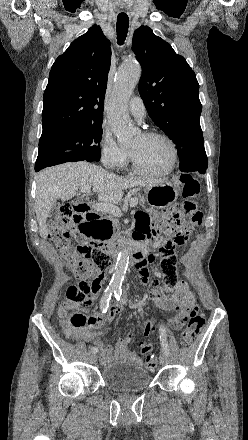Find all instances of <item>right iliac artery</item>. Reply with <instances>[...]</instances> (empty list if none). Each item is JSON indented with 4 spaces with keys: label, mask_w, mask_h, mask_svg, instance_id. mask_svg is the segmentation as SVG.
I'll return each instance as SVG.
<instances>
[{
    "label": "right iliac artery",
    "mask_w": 248,
    "mask_h": 440,
    "mask_svg": "<svg viewBox=\"0 0 248 440\" xmlns=\"http://www.w3.org/2000/svg\"><path fill=\"white\" fill-rule=\"evenodd\" d=\"M114 288L113 287H107L106 290L104 291V294L101 298L100 301V308L102 310V313H106L107 309L109 307V301L111 299L112 293L114 292ZM91 351L93 353H97L98 352V348L97 347H92Z\"/></svg>",
    "instance_id": "obj_1"
}]
</instances>
